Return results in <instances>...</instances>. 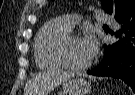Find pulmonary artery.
Here are the masks:
<instances>
[{
  "mask_svg": "<svg viewBox=\"0 0 135 95\" xmlns=\"http://www.w3.org/2000/svg\"><path fill=\"white\" fill-rule=\"evenodd\" d=\"M61 19L63 20V22L70 28L72 29L74 27V25L77 23V20H78V16L77 15H72V14H68V15H64L61 17ZM98 19L101 21V22H104V23H114V21H112L111 17L106 15V14H103V13H100L98 15Z\"/></svg>",
  "mask_w": 135,
  "mask_h": 95,
  "instance_id": "1",
  "label": "pulmonary artery"
}]
</instances>
